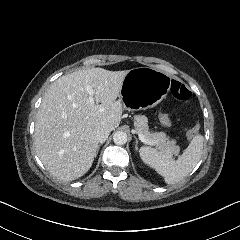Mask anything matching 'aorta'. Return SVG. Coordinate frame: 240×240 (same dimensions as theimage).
<instances>
[{
    "label": "aorta",
    "mask_w": 240,
    "mask_h": 240,
    "mask_svg": "<svg viewBox=\"0 0 240 240\" xmlns=\"http://www.w3.org/2000/svg\"><path fill=\"white\" fill-rule=\"evenodd\" d=\"M113 141L116 145H123L127 142V134L123 131H117L113 135Z\"/></svg>",
    "instance_id": "aorta-1"
}]
</instances>
